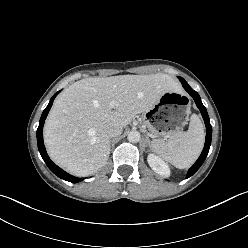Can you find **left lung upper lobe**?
I'll use <instances>...</instances> for the list:
<instances>
[{
  "instance_id": "1",
  "label": "left lung upper lobe",
  "mask_w": 248,
  "mask_h": 248,
  "mask_svg": "<svg viewBox=\"0 0 248 248\" xmlns=\"http://www.w3.org/2000/svg\"><path fill=\"white\" fill-rule=\"evenodd\" d=\"M181 82H186L183 78L179 77Z\"/></svg>"
}]
</instances>
